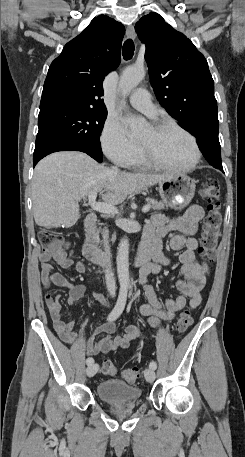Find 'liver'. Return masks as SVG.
Returning <instances> with one entry per match:
<instances>
[{"label":"liver","instance_id":"6515ba94","mask_svg":"<svg viewBox=\"0 0 245 457\" xmlns=\"http://www.w3.org/2000/svg\"><path fill=\"white\" fill-rule=\"evenodd\" d=\"M167 178L170 174L111 172V168L78 150L53 152L34 168L31 188L35 222L45 229L73 226L80 216L78 202L89 192L106 190L103 200L120 204L127 194L146 190Z\"/></svg>","mask_w":245,"mask_h":457}]
</instances>
